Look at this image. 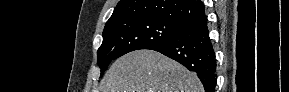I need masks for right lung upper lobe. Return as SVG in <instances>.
Wrapping results in <instances>:
<instances>
[{
	"instance_id": "1",
	"label": "right lung upper lobe",
	"mask_w": 289,
	"mask_h": 92,
	"mask_svg": "<svg viewBox=\"0 0 289 92\" xmlns=\"http://www.w3.org/2000/svg\"><path fill=\"white\" fill-rule=\"evenodd\" d=\"M205 14L201 0H120L106 26L139 17L160 18L187 24Z\"/></svg>"
}]
</instances>
